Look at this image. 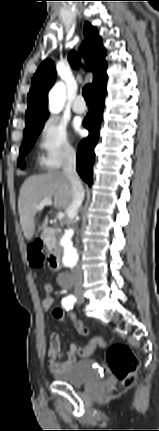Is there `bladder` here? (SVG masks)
Wrapping results in <instances>:
<instances>
[{"label": "bladder", "mask_w": 159, "mask_h": 431, "mask_svg": "<svg viewBox=\"0 0 159 431\" xmlns=\"http://www.w3.org/2000/svg\"><path fill=\"white\" fill-rule=\"evenodd\" d=\"M52 375L56 381L71 386H81L102 378L100 367L92 359L79 360L66 369L53 371Z\"/></svg>", "instance_id": "obj_1"}]
</instances>
